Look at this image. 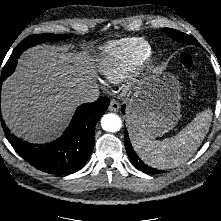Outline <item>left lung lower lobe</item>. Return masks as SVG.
<instances>
[{
	"instance_id": "left-lung-lower-lobe-1",
	"label": "left lung lower lobe",
	"mask_w": 221,
	"mask_h": 221,
	"mask_svg": "<svg viewBox=\"0 0 221 221\" xmlns=\"http://www.w3.org/2000/svg\"><path fill=\"white\" fill-rule=\"evenodd\" d=\"M124 111H125V106L122 107V112L124 113ZM124 144H125L126 151L131 159V162L135 166V168H137L138 170H141L142 172L147 173V174H160L163 172L161 170H157L155 168H151V167L147 166L143 161H141L138 158V156L135 154V152L132 148L127 131H125Z\"/></svg>"
}]
</instances>
